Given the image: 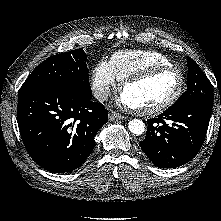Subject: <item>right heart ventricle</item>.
Instances as JSON below:
<instances>
[{"mask_svg":"<svg viewBox=\"0 0 221 221\" xmlns=\"http://www.w3.org/2000/svg\"><path fill=\"white\" fill-rule=\"evenodd\" d=\"M117 80L155 66L173 65L165 55L152 50H123L114 53L109 61Z\"/></svg>","mask_w":221,"mask_h":221,"instance_id":"obj_1","label":"right heart ventricle"}]
</instances>
